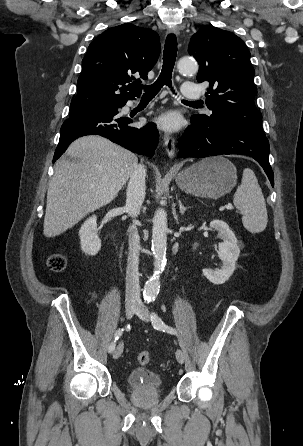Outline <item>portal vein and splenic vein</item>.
Instances as JSON below:
<instances>
[{
    "mask_svg": "<svg viewBox=\"0 0 303 446\" xmlns=\"http://www.w3.org/2000/svg\"><path fill=\"white\" fill-rule=\"evenodd\" d=\"M226 209L227 210H232V209H234V207L232 206V204H228V205H226Z\"/></svg>",
    "mask_w": 303,
    "mask_h": 446,
    "instance_id": "obj_1",
    "label": "portal vein and splenic vein"
}]
</instances>
